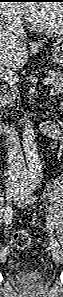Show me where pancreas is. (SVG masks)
<instances>
[{
    "label": "pancreas",
    "mask_w": 63,
    "mask_h": 297,
    "mask_svg": "<svg viewBox=\"0 0 63 297\" xmlns=\"http://www.w3.org/2000/svg\"><path fill=\"white\" fill-rule=\"evenodd\" d=\"M50 77L53 78V82L51 83L52 87L54 89H61L63 86V74L61 72L53 71ZM12 98V96H9L8 102H11Z\"/></svg>",
    "instance_id": "1"
}]
</instances>
